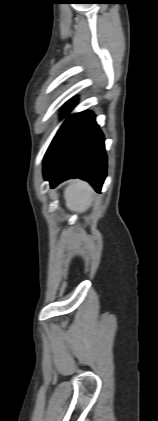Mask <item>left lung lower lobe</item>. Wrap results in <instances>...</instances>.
Segmentation results:
<instances>
[{"mask_svg":"<svg viewBox=\"0 0 158 421\" xmlns=\"http://www.w3.org/2000/svg\"><path fill=\"white\" fill-rule=\"evenodd\" d=\"M74 102L65 107L67 114ZM44 178L51 188L69 178L90 182L100 192L106 177L107 157L103 134L94 114L83 111L66 119L51 142L43 163Z\"/></svg>","mask_w":158,"mask_h":421,"instance_id":"left-lung-lower-lobe-1","label":"left lung lower lobe"}]
</instances>
